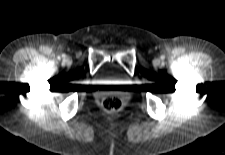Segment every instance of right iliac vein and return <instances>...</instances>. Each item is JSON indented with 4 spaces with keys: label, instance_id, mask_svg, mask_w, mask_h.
<instances>
[{
    "label": "right iliac vein",
    "instance_id": "63e3f726",
    "mask_svg": "<svg viewBox=\"0 0 225 155\" xmlns=\"http://www.w3.org/2000/svg\"><path fill=\"white\" fill-rule=\"evenodd\" d=\"M66 63H67V64H70V63H71L70 59H67V60H66Z\"/></svg>",
    "mask_w": 225,
    "mask_h": 155
}]
</instances>
